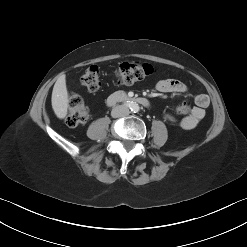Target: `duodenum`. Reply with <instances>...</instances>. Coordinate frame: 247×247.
<instances>
[{"label":"duodenum","mask_w":247,"mask_h":247,"mask_svg":"<svg viewBox=\"0 0 247 247\" xmlns=\"http://www.w3.org/2000/svg\"><path fill=\"white\" fill-rule=\"evenodd\" d=\"M121 101L129 102V103H138V104H142V105H146L148 103L147 100L144 98L130 97V96H127L126 94L121 93V92H116V93L110 95L108 98L109 104H115V103H118Z\"/></svg>","instance_id":"1"}]
</instances>
